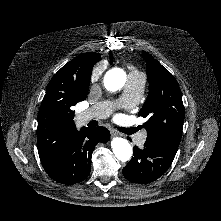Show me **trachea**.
I'll use <instances>...</instances> for the list:
<instances>
[{
  "label": "trachea",
  "mask_w": 221,
  "mask_h": 221,
  "mask_svg": "<svg viewBox=\"0 0 221 221\" xmlns=\"http://www.w3.org/2000/svg\"><path fill=\"white\" fill-rule=\"evenodd\" d=\"M119 130L126 134H131L132 132L136 131L135 129H126V128H119Z\"/></svg>",
  "instance_id": "1"
}]
</instances>
